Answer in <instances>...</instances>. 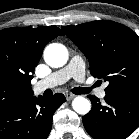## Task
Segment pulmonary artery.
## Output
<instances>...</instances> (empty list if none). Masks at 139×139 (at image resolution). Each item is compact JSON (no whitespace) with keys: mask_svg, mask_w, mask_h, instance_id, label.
<instances>
[{"mask_svg":"<svg viewBox=\"0 0 139 139\" xmlns=\"http://www.w3.org/2000/svg\"><path fill=\"white\" fill-rule=\"evenodd\" d=\"M71 78L79 83H82L85 79V63L80 56L72 57L67 66L53 72L45 79L38 81L33 89L36 94H39L46 89L61 85ZM96 95L100 99H103L106 95L105 86L98 88L96 90Z\"/></svg>","mask_w":139,"mask_h":139,"instance_id":"pulmonary-artery-1","label":"pulmonary artery"}]
</instances>
